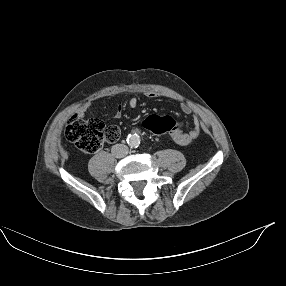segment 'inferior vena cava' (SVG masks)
I'll return each mask as SVG.
<instances>
[{
    "instance_id": "obj_1",
    "label": "inferior vena cava",
    "mask_w": 286,
    "mask_h": 286,
    "mask_svg": "<svg viewBox=\"0 0 286 286\" xmlns=\"http://www.w3.org/2000/svg\"><path fill=\"white\" fill-rule=\"evenodd\" d=\"M111 152L116 158H123L129 153V148L124 144H116L112 146Z\"/></svg>"
}]
</instances>
